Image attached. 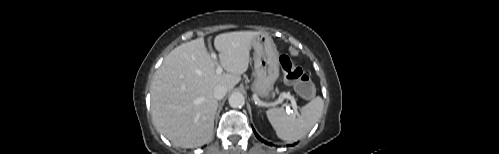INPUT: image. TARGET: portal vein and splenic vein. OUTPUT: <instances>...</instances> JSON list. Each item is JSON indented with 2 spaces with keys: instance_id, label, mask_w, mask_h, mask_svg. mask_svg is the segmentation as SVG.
<instances>
[{
  "instance_id": "portal-vein-and-splenic-vein-1",
  "label": "portal vein and splenic vein",
  "mask_w": 499,
  "mask_h": 154,
  "mask_svg": "<svg viewBox=\"0 0 499 154\" xmlns=\"http://www.w3.org/2000/svg\"><path fill=\"white\" fill-rule=\"evenodd\" d=\"M211 57H212V58L216 61V64H217V67H216V73H217V74H221V73H222V67L220 66V64H219V63H218V61H217V55H216V53H212V54H211ZM284 98H289V99L291 100V102H292V104H291V105H289V104H285V107H286L287 112H288V113H293V110H291V109H290V106H292V107H293V109H294V113H295V114H298V112H297V105H296V103H295L294 99H293L292 97L288 96V95H284L283 97H279V98L275 101V103H274V104H280V103H282V102H283V100H284Z\"/></svg>"
}]
</instances>
